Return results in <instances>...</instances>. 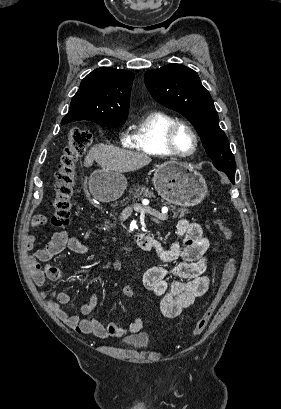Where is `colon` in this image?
I'll return each mask as SVG.
<instances>
[{
    "label": "colon",
    "instance_id": "colon-1",
    "mask_svg": "<svg viewBox=\"0 0 281 409\" xmlns=\"http://www.w3.org/2000/svg\"><path fill=\"white\" fill-rule=\"evenodd\" d=\"M90 142L91 134L85 129L74 128L68 133L65 149L58 161L55 195L50 203L53 212L51 224L54 227H62L68 222L72 208L74 186L77 181L75 163L84 154ZM216 225L227 241L228 246L233 247L232 230L222 219H217ZM235 271L236 257L231 254L224 266L222 277L211 302L193 326L194 334L202 333L209 325L229 290Z\"/></svg>",
    "mask_w": 281,
    "mask_h": 409
}]
</instances>
